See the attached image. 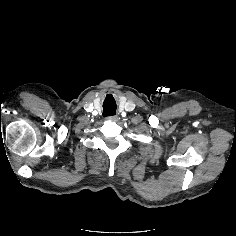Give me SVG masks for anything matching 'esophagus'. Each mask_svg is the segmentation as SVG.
I'll list each match as a JSON object with an SVG mask.
<instances>
[{"mask_svg": "<svg viewBox=\"0 0 236 236\" xmlns=\"http://www.w3.org/2000/svg\"><path fill=\"white\" fill-rule=\"evenodd\" d=\"M107 119L111 121H118L119 117L117 115H112V116H109Z\"/></svg>", "mask_w": 236, "mask_h": 236, "instance_id": "esophagus-1", "label": "esophagus"}]
</instances>
